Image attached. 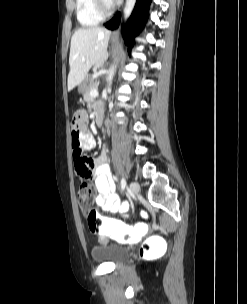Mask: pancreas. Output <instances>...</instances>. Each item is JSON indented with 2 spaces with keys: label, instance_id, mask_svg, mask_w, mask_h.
Masks as SVG:
<instances>
[{
  "label": "pancreas",
  "instance_id": "cf45deb5",
  "mask_svg": "<svg viewBox=\"0 0 247 304\" xmlns=\"http://www.w3.org/2000/svg\"><path fill=\"white\" fill-rule=\"evenodd\" d=\"M98 88L97 82H90L87 86L83 87L82 93L85 101H89L91 99L90 91L96 90Z\"/></svg>",
  "mask_w": 247,
  "mask_h": 304
}]
</instances>
